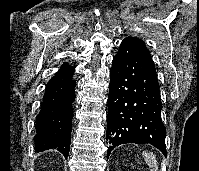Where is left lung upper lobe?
Listing matches in <instances>:
<instances>
[{
  "mask_svg": "<svg viewBox=\"0 0 199 171\" xmlns=\"http://www.w3.org/2000/svg\"><path fill=\"white\" fill-rule=\"evenodd\" d=\"M125 39L140 45L144 50H146L149 53L147 47L145 46V43L141 39L137 37H127Z\"/></svg>",
  "mask_w": 199,
  "mask_h": 171,
  "instance_id": "left-lung-upper-lobe-1",
  "label": "left lung upper lobe"
}]
</instances>
